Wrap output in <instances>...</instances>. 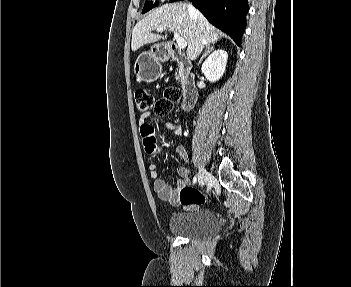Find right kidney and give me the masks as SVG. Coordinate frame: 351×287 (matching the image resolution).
Returning a JSON list of instances; mask_svg holds the SVG:
<instances>
[{"label": "right kidney", "mask_w": 351, "mask_h": 287, "mask_svg": "<svg viewBox=\"0 0 351 287\" xmlns=\"http://www.w3.org/2000/svg\"><path fill=\"white\" fill-rule=\"evenodd\" d=\"M228 54L219 49L214 51L203 63L202 73L210 82L218 81L224 74L227 64Z\"/></svg>", "instance_id": "1"}]
</instances>
